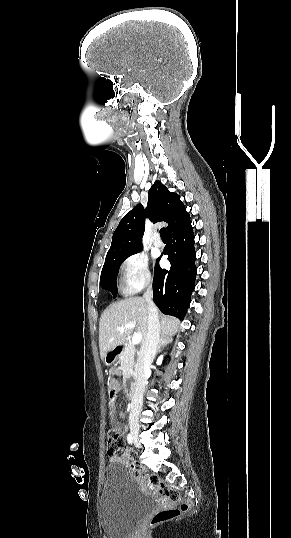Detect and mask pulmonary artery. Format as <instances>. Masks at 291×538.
Segmentation results:
<instances>
[{
    "label": "pulmonary artery",
    "instance_id": "pulmonary-artery-1",
    "mask_svg": "<svg viewBox=\"0 0 291 538\" xmlns=\"http://www.w3.org/2000/svg\"><path fill=\"white\" fill-rule=\"evenodd\" d=\"M153 244H154L155 247H162V245H163L161 239H159V238H155L154 241H153Z\"/></svg>",
    "mask_w": 291,
    "mask_h": 538
}]
</instances>
